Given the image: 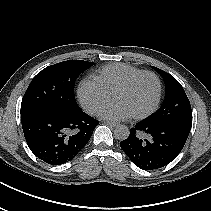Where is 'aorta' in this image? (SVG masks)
<instances>
[{
	"label": "aorta",
	"mask_w": 211,
	"mask_h": 211,
	"mask_svg": "<svg viewBox=\"0 0 211 211\" xmlns=\"http://www.w3.org/2000/svg\"><path fill=\"white\" fill-rule=\"evenodd\" d=\"M130 130L125 125H117L114 130V135L118 140H125L128 138Z\"/></svg>",
	"instance_id": "1"
}]
</instances>
